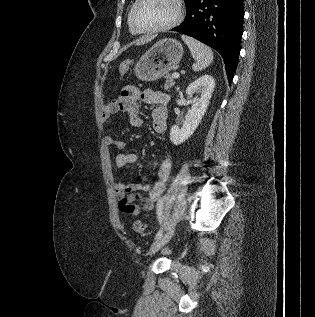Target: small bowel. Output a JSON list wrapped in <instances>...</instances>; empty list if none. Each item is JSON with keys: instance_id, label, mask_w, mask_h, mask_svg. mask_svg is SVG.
I'll return each mask as SVG.
<instances>
[{"instance_id": "c3829d8e", "label": "small bowel", "mask_w": 315, "mask_h": 317, "mask_svg": "<svg viewBox=\"0 0 315 317\" xmlns=\"http://www.w3.org/2000/svg\"><path fill=\"white\" fill-rule=\"evenodd\" d=\"M139 102L153 105L152 110V127L155 132L163 133L167 127V104L169 96L166 93L154 90L139 91L134 86H126L121 91L119 97L104 105L102 110V121L106 122L109 118L123 111L128 117L129 124L133 127H140L143 123L140 115ZM104 142L109 147L123 149V141L114 138L111 135L104 137ZM136 153L121 152L115 157V166L123 168L137 162ZM172 163L170 158H164L157 168V181L154 183H124L115 182L116 196L119 210L131 216H137L141 209L151 211L154 209L156 202L160 199L165 190V183L170 177ZM141 192H146L143 195ZM138 201L140 205L135 203Z\"/></svg>"}]
</instances>
